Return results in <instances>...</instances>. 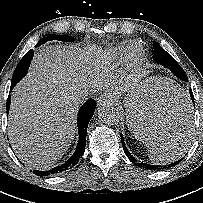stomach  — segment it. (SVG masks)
Segmentation results:
<instances>
[{
  "instance_id": "obj_1",
  "label": "stomach",
  "mask_w": 203,
  "mask_h": 203,
  "mask_svg": "<svg viewBox=\"0 0 203 203\" xmlns=\"http://www.w3.org/2000/svg\"><path fill=\"white\" fill-rule=\"evenodd\" d=\"M143 95L144 94H140V99L139 100H142L143 99ZM135 100H134V96H128L126 99H125V105H126V108H127V113L128 114H132V112H134V107H135Z\"/></svg>"
}]
</instances>
